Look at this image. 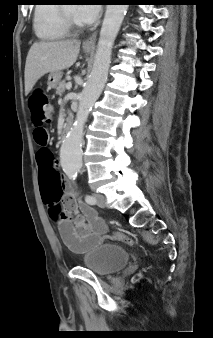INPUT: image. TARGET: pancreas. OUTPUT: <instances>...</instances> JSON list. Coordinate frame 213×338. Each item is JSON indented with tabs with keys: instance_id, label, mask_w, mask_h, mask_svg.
<instances>
[{
	"instance_id": "obj_1",
	"label": "pancreas",
	"mask_w": 213,
	"mask_h": 338,
	"mask_svg": "<svg viewBox=\"0 0 213 338\" xmlns=\"http://www.w3.org/2000/svg\"><path fill=\"white\" fill-rule=\"evenodd\" d=\"M66 88V82L65 80H62L58 83V86L56 88V94L59 96H62V94L65 92Z\"/></svg>"
}]
</instances>
